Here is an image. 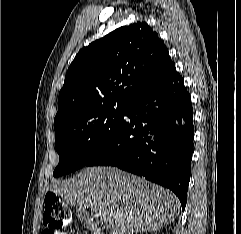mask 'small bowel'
Here are the masks:
<instances>
[{
  "label": "small bowel",
  "instance_id": "obj_1",
  "mask_svg": "<svg viewBox=\"0 0 241 234\" xmlns=\"http://www.w3.org/2000/svg\"><path fill=\"white\" fill-rule=\"evenodd\" d=\"M43 234H67V233L58 231V230H44Z\"/></svg>",
  "mask_w": 241,
  "mask_h": 234
}]
</instances>
